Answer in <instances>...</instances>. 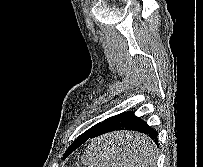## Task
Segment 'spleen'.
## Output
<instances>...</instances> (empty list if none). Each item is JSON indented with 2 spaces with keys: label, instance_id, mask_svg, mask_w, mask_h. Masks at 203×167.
I'll list each match as a JSON object with an SVG mask.
<instances>
[{
  "label": "spleen",
  "instance_id": "spleen-1",
  "mask_svg": "<svg viewBox=\"0 0 203 167\" xmlns=\"http://www.w3.org/2000/svg\"><path fill=\"white\" fill-rule=\"evenodd\" d=\"M114 141L115 138H110V136L92 141L91 145L85 151L84 156L81 158L82 163L87 167H135L133 163H130L128 160H121L117 150L109 148L108 144ZM131 141L136 145L146 147V150L141 149L140 153L136 154L135 162H144V164L139 167H154L156 151L155 145L151 140L144 135L138 134Z\"/></svg>",
  "mask_w": 203,
  "mask_h": 167
}]
</instances>
